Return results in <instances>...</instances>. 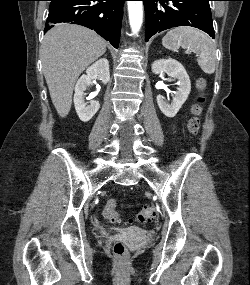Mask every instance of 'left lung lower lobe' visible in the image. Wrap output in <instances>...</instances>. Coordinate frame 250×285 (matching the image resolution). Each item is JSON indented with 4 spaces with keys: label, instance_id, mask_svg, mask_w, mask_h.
<instances>
[{
    "label": "left lung lower lobe",
    "instance_id": "left-lung-lower-lobe-1",
    "mask_svg": "<svg viewBox=\"0 0 250 285\" xmlns=\"http://www.w3.org/2000/svg\"><path fill=\"white\" fill-rule=\"evenodd\" d=\"M146 14L145 40L157 32L177 27L192 26L215 37L211 0H142Z\"/></svg>",
    "mask_w": 250,
    "mask_h": 285
}]
</instances>
